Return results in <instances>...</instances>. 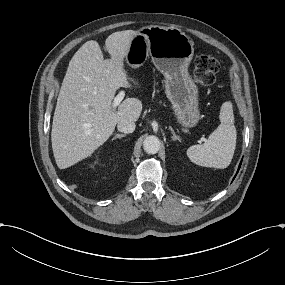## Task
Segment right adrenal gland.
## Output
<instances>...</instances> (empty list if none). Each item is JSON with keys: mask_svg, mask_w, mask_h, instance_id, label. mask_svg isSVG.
<instances>
[{"mask_svg": "<svg viewBox=\"0 0 285 285\" xmlns=\"http://www.w3.org/2000/svg\"><path fill=\"white\" fill-rule=\"evenodd\" d=\"M126 136V134H117L116 136H114L111 141L115 140V139H121L122 137Z\"/></svg>", "mask_w": 285, "mask_h": 285, "instance_id": "2a0ac1e0", "label": "right adrenal gland"}]
</instances>
